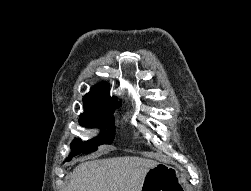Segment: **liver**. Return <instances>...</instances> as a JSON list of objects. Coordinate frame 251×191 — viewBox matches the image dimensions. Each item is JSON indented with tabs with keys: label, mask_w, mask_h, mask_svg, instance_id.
I'll use <instances>...</instances> for the list:
<instances>
[{
	"label": "liver",
	"mask_w": 251,
	"mask_h": 191,
	"mask_svg": "<svg viewBox=\"0 0 251 191\" xmlns=\"http://www.w3.org/2000/svg\"><path fill=\"white\" fill-rule=\"evenodd\" d=\"M157 161L124 155L76 165L67 191H141L144 175Z\"/></svg>",
	"instance_id": "liver-1"
}]
</instances>
